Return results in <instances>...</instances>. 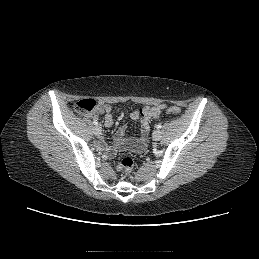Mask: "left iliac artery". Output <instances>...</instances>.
Returning <instances> with one entry per match:
<instances>
[{
	"mask_svg": "<svg viewBox=\"0 0 259 259\" xmlns=\"http://www.w3.org/2000/svg\"><path fill=\"white\" fill-rule=\"evenodd\" d=\"M161 127H162L161 124L156 125V128H157V129H161Z\"/></svg>",
	"mask_w": 259,
	"mask_h": 259,
	"instance_id": "left-iliac-artery-1",
	"label": "left iliac artery"
}]
</instances>
